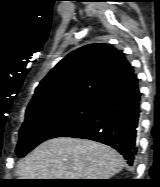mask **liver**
<instances>
[{
  "mask_svg": "<svg viewBox=\"0 0 160 187\" xmlns=\"http://www.w3.org/2000/svg\"><path fill=\"white\" fill-rule=\"evenodd\" d=\"M125 165L113 148L87 139L47 140L22 159L19 179H110Z\"/></svg>",
  "mask_w": 160,
  "mask_h": 187,
  "instance_id": "1",
  "label": "liver"
}]
</instances>
